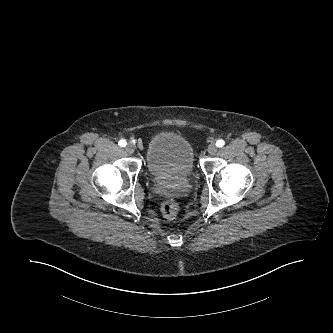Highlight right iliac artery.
<instances>
[{
    "instance_id": "82829eb1",
    "label": "right iliac artery",
    "mask_w": 333,
    "mask_h": 333,
    "mask_svg": "<svg viewBox=\"0 0 333 333\" xmlns=\"http://www.w3.org/2000/svg\"><path fill=\"white\" fill-rule=\"evenodd\" d=\"M121 147H125L127 142L124 139H121L118 143Z\"/></svg>"
}]
</instances>
